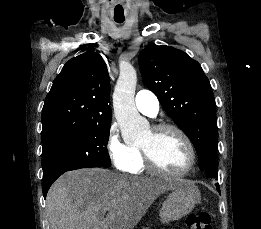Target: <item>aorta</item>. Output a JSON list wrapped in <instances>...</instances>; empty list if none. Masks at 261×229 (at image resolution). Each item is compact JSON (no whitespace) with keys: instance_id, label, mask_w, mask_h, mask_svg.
<instances>
[{"instance_id":"obj_1","label":"aorta","mask_w":261,"mask_h":229,"mask_svg":"<svg viewBox=\"0 0 261 229\" xmlns=\"http://www.w3.org/2000/svg\"><path fill=\"white\" fill-rule=\"evenodd\" d=\"M136 82L137 72L132 64L121 66L120 76L113 92V106L115 119L122 133H128L135 143H140L151 133L147 119L140 117L136 108L134 100Z\"/></svg>"}]
</instances>
